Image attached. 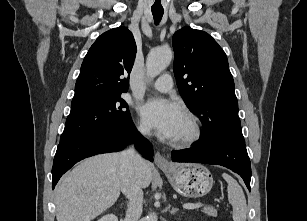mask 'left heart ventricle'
Instances as JSON below:
<instances>
[{"label": "left heart ventricle", "instance_id": "obj_1", "mask_svg": "<svg viewBox=\"0 0 307 221\" xmlns=\"http://www.w3.org/2000/svg\"><path fill=\"white\" fill-rule=\"evenodd\" d=\"M190 131H191V125H190L188 119L183 116L179 130H178L177 135L174 139H179L181 137H184L187 134H189Z\"/></svg>", "mask_w": 307, "mask_h": 221}]
</instances>
